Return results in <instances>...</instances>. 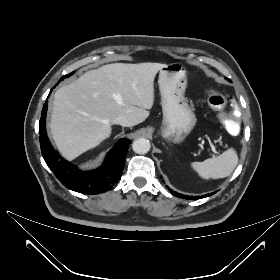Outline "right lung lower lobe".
Segmentation results:
<instances>
[{
  "instance_id": "1",
  "label": "right lung lower lobe",
  "mask_w": 280,
  "mask_h": 280,
  "mask_svg": "<svg viewBox=\"0 0 280 280\" xmlns=\"http://www.w3.org/2000/svg\"><path fill=\"white\" fill-rule=\"evenodd\" d=\"M46 112L47 101L43 106L39 122L40 147L46 164L57 179L66 188L82 194L95 195L111 190L121 178L130 141L120 139L99 169L81 172L76 166L62 159L51 146L45 128Z\"/></svg>"
}]
</instances>
